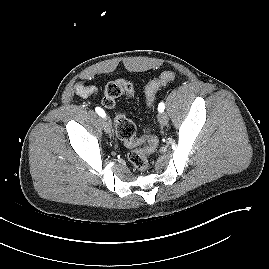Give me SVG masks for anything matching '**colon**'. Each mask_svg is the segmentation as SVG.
<instances>
[{
	"label": "colon",
	"mask_w": 269,
	"mask_h": 269,
	"mask_svg": "<svg viewBox=\"0 0 269 269\" xmlns=\"http://www.w3.org/2000/svg\"><path fill=\"white\" fill-rule=\"evenodd\" d=\"M176 75L173 71H164L160 76L150 81L145 88L146 102L149 108L153 107L157 91L167 83L173 81ZM135 90L133 85L125 80H116L109 82L105 87L102 103L105 107H113L116 100L121 95L127 98L134 96ZM115 127L117 136L131 150L128 154L129 161L135 169L146 171L149 168V154L155 149L157 139L154 136H147L145 139H138L136 135L135 124L123 115L115 117ZM152 128H147L146 132L150 133Z\"/></svg>",
	"instance_id": "5ec220e1"
}]
</instances>
